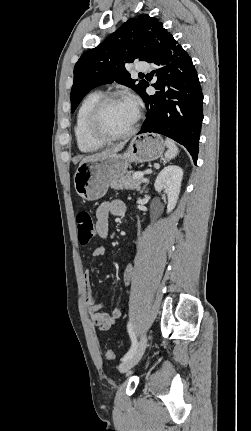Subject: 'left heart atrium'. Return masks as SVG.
Wrapping results in <instances>:
<instances>
[{
    "instance_id": "obj_1",
    "label": "left heart atrium",
    "mask_w": 251,
    "mask_h": 431,
    "mask_svg": "<svg viewBox=\"0 0 251 431\" xmlns=\"http://www.w3.org/2000/svg\"><path fill=\"white\" fill-rule=\"evenodd\" d=\"M127 101H128L132 106H134L136 109L138 108V103H137V101H136L134 98H129V99H127Z\"/></svg>"
}]
</instances>
